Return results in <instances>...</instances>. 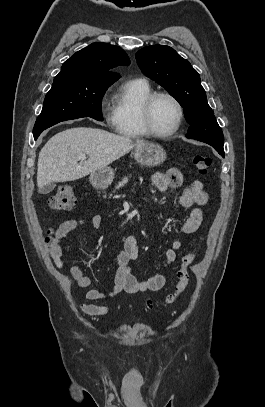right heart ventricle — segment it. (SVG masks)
Here are the masks:
<instances>
[{"instance_id":"e07e8e85","label":"right heart ventricle","mask_w":265,"mask_h":407,"mask_svg":"<svg viewBox=\"0 0 265 407\" xmlns=\"http://www.w3.org/2000/svg\"><path fill=\"white\" fill-rule=\"evenodd\" d=\"M153 90L144 78L124 83L113 107L112 124L115 131L127 138H145L149 134L141 121V107Z\"/></svg>"}]
</instances>
